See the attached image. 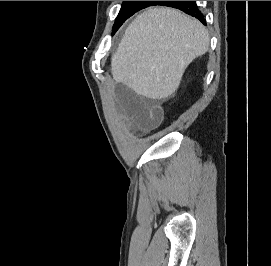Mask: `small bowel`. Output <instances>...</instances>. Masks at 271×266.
<instances>
[{
	"instance_id": "1",
	"label": "small bowel",
	"mask_w": 271,
	"mask_h": 266,
	"mask_svg": "<svg viewBox=\"0 0 271 266\" xmlns=\"http://www.w3.org/2000/svg\"><path fill=\"white\" fill-rule=\"evenodd\" d=\"M115 74L120 80L117 98L125 116L144 130L157 126L162 120L161 102L144 99L131 88L133 73L129 67L122 66Z\"/></svg>"
}]
</instances>
